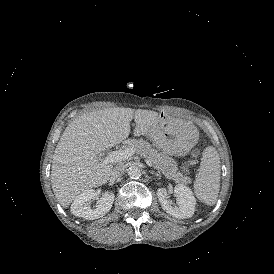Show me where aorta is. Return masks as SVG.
<instances>
[{"instance_id": "aorta-1", "label": "aorta", "mask_w": 274, "mask_h": 274, "mask_svg": "<svg viewBox=\"0 0 274 274\" xmlns=\"http://www.w3.org/2000/svg\"><path fill=\"white\" fill-rule=\"evenodd\" d=\"M128 175L132 179H138L142 175V170L138 166H131L128 169Z\"/></svg>"}]
</instances>
